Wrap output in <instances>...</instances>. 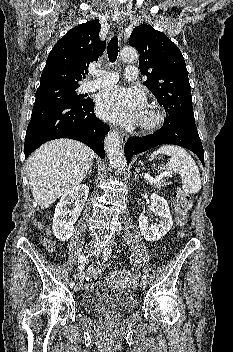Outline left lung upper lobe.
I'll return each mask as SVG.
<instances>
[{
  "label": "left lung upper lobe",
  "instance_id": "1",
  "mask_svg": "<svg viewBox=\"0 0 233 352\" xmlns=\"http://www.w3.org/2000/svg\"><path fill=\"white\" fill-rule=\"evenodd\" d=\"M129 43L139 52L144 84L166 111L170 123L195 124L188 72L179 48L150 25L137 26Z\"/></svg>",
  "mask_w": 233,
  "mask_h": 352
}]
</instances>
